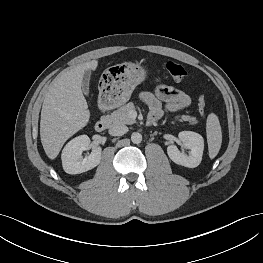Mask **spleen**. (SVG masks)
I'll list each match as a JSON object with an SVG mask.
<instances>
[{"mask_svg":"<svg viewBox=\"0 0 263 263\" xmlns=\"http://www.w3.org/2000/svg\"><path fill=\"white\" fill-rule=\"evenodd\" d=\"M206 134L209 157L215 158L221 148L222 132L218 117L211 113L207 117Z\"/></svg>","mask_w":263,"mask_h":263,"instance_id":"obj_1","label":"spleen"}]
</instances>
